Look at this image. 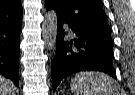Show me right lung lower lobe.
Masks as SVG:
<instances>
[{
	"instance_id": "98d812e1",
	"label": "right lung lower lobe",
	"mask_w": 135,
	"mask_h": 95,
	"mask_svg": "<svg viewBox=\"0 0 135 95\" xmlns=\"http://www.w3.org/2000/svg\"><path fill=\"white\" fill-rule=\"evenodd\" d=\"M22 16L0 20V74L19 85V39Z\"/></svg>"
}]
</instances>
